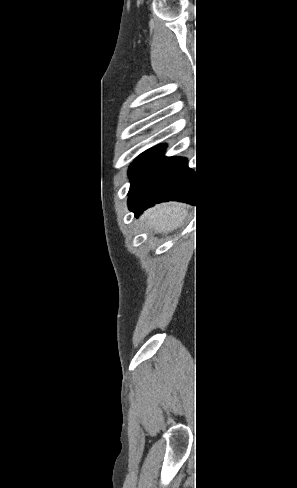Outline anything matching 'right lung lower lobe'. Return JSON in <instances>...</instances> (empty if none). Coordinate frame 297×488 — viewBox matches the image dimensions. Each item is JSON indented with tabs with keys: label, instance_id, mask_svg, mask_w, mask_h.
Returning a JSON list of instances; mask_svg holds the SVG:
<instances>
[{
	"label": "right lung lower lobe",
	"instance_id": "98d812e1",
	"mask_svg": "<svg viewBox=\"0 0 297 488\" xmlns=\"http://www.w3.org/2000/svg\"><path fill=\"white\" fill-rule=\"evenodd\" d=\"M195 188L194 171L188 168L187 159L162 154L129 194L128 207L138 216L160 202L177 200L194 204Z\"/></svg>",
	"mask_w": 297,
	"mask_h": 488
}]
</instances>
